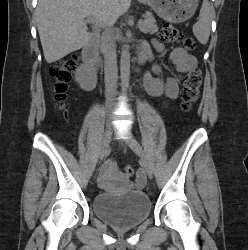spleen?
Masks as SVG:
<instances>
[{
  "mask_svg": "<svg viewBox=\"0 0 248 250\" xmlns=\"http://www.w3.org/2000/svg\"><path fill=\"white\" fill-rule=\"evenodd\" d=\"M213 6L208 0H203L199 13V20L193 25V34L201 44H206L210 36Z\"/></svg>",
  "mask_w": 248,
  "mask_h": 250,
  "instance_id": "3e777b00",
  "label": "spleen"
}]
</instances>
